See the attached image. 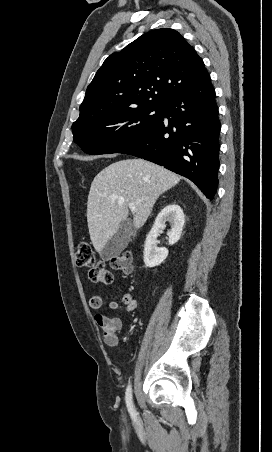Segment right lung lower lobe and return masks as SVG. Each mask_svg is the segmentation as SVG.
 Instances as JSON below:
<instances>
[{"instance_id":"98d812e1","label":"right lung lower lobe","mask_w":272,"mask_h":452,"mask_svg":"<svg viewBox=\"0 0 272 452\" xmlns=\"http://www.w3.org/2000/svg\"><path fill=\"white\" fill-rule=\"evenodd\" d=\"M219 132L215 90L209 79L166 102L158 121L118 153L164 166L190 179L212 200L218 185Z\"/></svg>"}]
</instances>
